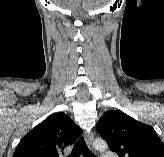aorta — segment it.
Instances as JSON below:
<instances>
[{
	"instance_id": "762f6f07",
	"label": "aorta",
	"mask_w": 164,
	"mask_h": 157,
	"mask_svg": "<svg viewBox=\"0 0 164 157\" xmlns=\"http://www.w3.org/2000/svg\"><path fill=\"white\" fill-rule=\"evenodd\" d=\"M93 145H94L95 149H97L100 152H104L108 149V145H107L106 141H104L102 139L95 140Z\"/></svg>"
}]
</instances>
